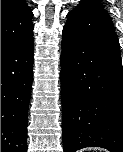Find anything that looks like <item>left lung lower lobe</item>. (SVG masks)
Segmentation results:
<instances>
[{
    "label": "left lung lower lobe",
    "instance_id": "left-lung-lower-lobe-1",
    "mask_svg": "<svg viewBox=\"0 0 123 152\" xmlns=\"http://www.w3.org/2000/svg\"><path fill=\"white\" fill-rule=\"evenodd\" d=\"M61 54L64 152H123V69L111 18L93 1L67 14Z\"/></svg>",
    "mask_w": 123,
    "mask_h": 152
}]
</instances>
